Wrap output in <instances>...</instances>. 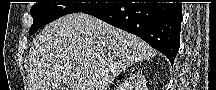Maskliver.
Returning a JSON list of instances; mask_svg holds the SVG:
<instances>
[{
    "mask_svg": "<svg viewBox=\"0 0 216 90\" xmlns=\"http://www.w3.org/2000/svg\"><path fill=\"white\" fill-rule=\"evenodd\" d=\"M151 56L152 48L134 34L82 12L68 14L33 40L30 90H108L125 68Z\"/></svg>",
    "mask_w": 216,
    "mask_h": 90,
    "instance_id": "liver-1",
    "label": "liver"
}]
</instances>
